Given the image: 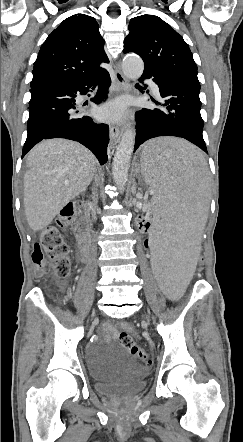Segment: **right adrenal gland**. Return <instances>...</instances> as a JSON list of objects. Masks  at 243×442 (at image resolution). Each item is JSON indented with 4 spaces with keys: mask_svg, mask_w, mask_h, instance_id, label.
Segmentation results:
<instances>
[{
    "mask_svg": "<svg viewBox=\"0 0 243 442\" xmlns=\"http://www.w3.org/2000/svg\"><path fill=\"white\" fill-rule=\"evenodd\" d=\"M98 186V174L97 171L95 172V183H94V187H92V190H95Z\"/></svg>",
    "mask_w": 243,
    "mask_h": 442,
    "instance_id": "1",
    "label": "right adrenal gland"
}]
</instances>
